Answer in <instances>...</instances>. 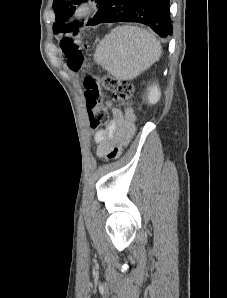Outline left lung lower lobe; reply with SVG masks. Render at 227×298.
<instances>
[{
    "label": "left lung lower lobe",
    "instance_id": "left-lung-lower-lobe-1",
    "mask_svg": "<svg viewBox=\"0 0 227 298\" xmlns=\"http://www.w3.org/2000/svg\"><path fill=\"white\" fill-rule=\"evenodd\" d=\"M139 22L161 37L172 34L169 0H108L97 24Z\"/></svg>",
    "mask_w": 227,
    "mask_h": 298
}]
</instances>
